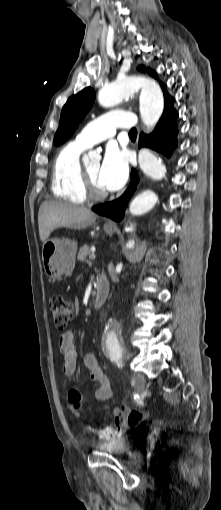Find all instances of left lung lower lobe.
Returning a JSON list of instances; mask_svg holds the SVG:
<instances>
[{"label": "left lung lower lobe", "instance_id": "0a47b994", "mask_svg": "<svg viewBox=\"0 0 221 510\" xmlns=\"http://www.w3.org/2000/svg\"><path fill=\"white\" fill-rule=\"evenodd\" d=\"M177 117L178 113L173 107L165 109L154 131L147 136L140 135L139 147H149L169 158L177 144ZM138 182V174L135 170H132L130 185L124 194L117 200L94 206L92 210L115 221H120L124 216L127 203L135 191Z\"/></svg>", "mask_w": 221, "mask_h": 510}]
</instances>
